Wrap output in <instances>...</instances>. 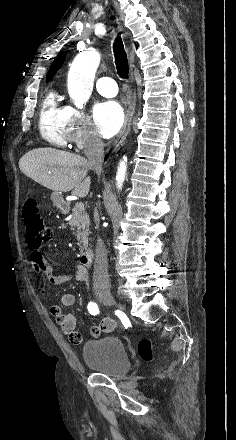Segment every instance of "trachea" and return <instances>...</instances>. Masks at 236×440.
<instances>
[{
  "label": "trachea",
  "mask_w": 236,
  "mask_h": 440,
  "mask_svg": "<svg viewBox=\"0 0 236 440\" xmlns=\"http://www.w3.org/2000/svg\"><path fill=\"white\" fill-rule=\"evenodd\" d=\"M113 51L115 56V64L118 75L122 79H128L129 77V64L126 51L122 39L118 37L113 45Z\"/></svg>",
  "instance_id": "trachea-1"
}]
</instances>
